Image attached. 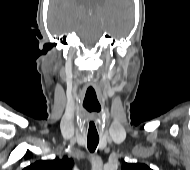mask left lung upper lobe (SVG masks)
<instances>
[{
	"label": "left lung upper lobe",
	"mask_w": 190,
	"mask_h": 170,
	"mask_svg": "<svg viewBox=\"0 0 190 170\" xmlns=\"http://www.w3.org/2000/svg\"><path fill=\"white\" fill-rule=\"evenodd\" d=\"M122 170H152V169L145 164L124 162L122 164Z\"/></svg>",
	"instance_id": "1"
}]
</instances>
